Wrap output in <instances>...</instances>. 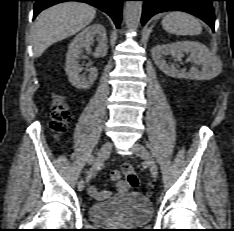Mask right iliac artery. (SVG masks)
<instances>
[{
    "mask_svg": "<svg viewBox=\"0 0 234 231\" xmlns=\"http://www.w3.org/2000/svg\"><path fill=\"white\" fill-rule=\"evenodd\" d=\"M94 160H95L94 156H90L87 160L88 163L92 166L86 176V182H89L97 174L98 170L100 169L99 165L94 164Z\"/></svg>",
    "mask_w": 234,
    "mask_h": 231,
    "instance_id": "obj_1",
    "label": "right iliac artery"
}]
</instances>
